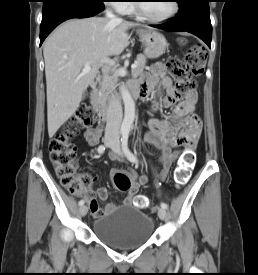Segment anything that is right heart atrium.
<instances>
[{
    "instance_id": "1",
    "label": "right heart atrium",
    "mask_w": 258,
    "mask_h": 275,
    "mask_svg": "<svg viewBox=\"0 0 258 275\" xmlns=\"http://www.w3.org/2000/svg\"><path fill=\"white\" fill-rule=\"evenodd\" d=\"M107 2H110L109 4L119 12H124L125 7L128 5V0H107Z\"/></svg>"
}]
</instances>
